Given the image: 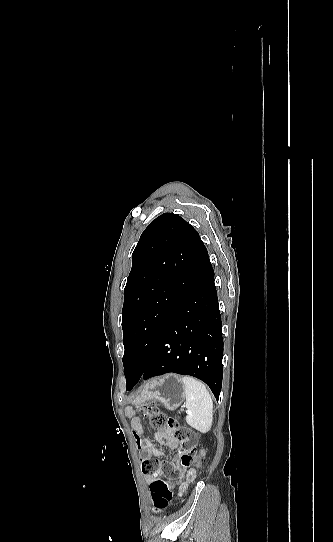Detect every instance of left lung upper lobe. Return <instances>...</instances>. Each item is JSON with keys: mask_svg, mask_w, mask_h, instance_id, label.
Masks as SVG:
<instances>
[{"mask_svg": "<svg viewBox=\"0 0 333 542\" xmlns=\"http://www.w3.org/2000/svg\"><path fill=\"white\" fill-rule=\"evenodd\" d=\"M208 259L198 232L173 213L160 215L141 234L124 289L126 382L141 376L162 328Z\"/></svg>", "mask_w": 333, "mask_h": 542, "instance_id": "1", "label": "left lung upper lobe"}]
</instances>
